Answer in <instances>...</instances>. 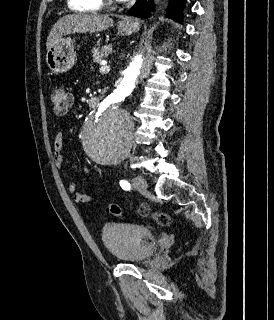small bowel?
Masks as SVG:
<instances>
[{
    "mask_svg": "<svg viewBox=\"0 0 274 320\" xmlns=\"http://www.w3.org/2000/svg\"><path fill=\"white\" fill-rule=\"evenodd\" d=\"M63 148H64V131L63 129H59L54 138V146H53V159L54 163L58 168L63 166ZM83 176L78 180L71 179L68 182L67 190L70 194L74 196V200L77 203H88L91 202L93 197L86 193L78 192V183L85 181L90 176V171L86 166H82Z\"/></svg>",
    "mask_w": 274,
    "mask_h": 320,
    "instance_id": "obj_1",
    "label": "small bowel"
}]
</instances>
